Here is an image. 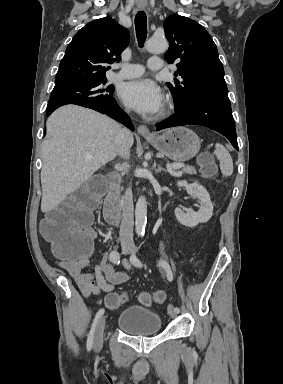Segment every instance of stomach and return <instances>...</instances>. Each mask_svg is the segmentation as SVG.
<instances>
[{"label": "stomach", "mask_w": 283, "mask_h": 384, "mask_svg": "<svg viewBox=\"0 0 283 384\" xmlns=\"http://www.w3.org/2000/svg\"><path fill=\"white\" fill-rule=\"evenodd\" d=\"M158 152L168 156L175 162L191 160L200 150V140L192 130L188 128H172L162 136H150L145 138Z\"/></svg>", "instance_id": "stomach-1"}]
</instances>
